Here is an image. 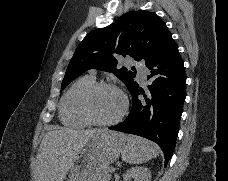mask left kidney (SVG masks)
Masks as SVG:
<instances>
[{
  "label": "left kidney",
  "mask_w": 228,
  "mask_h": 181,
  "mask_svg": "<svg viewBox=\"0 0 228 181\" xmlns=\"http://www.w3.org/2000/svg\"><path fill=\"white\" fill-rule=\"evenodd\" d=\"M151 181V173L147 167H132L123 175V181Z\"/></svg>",
  "instance_id": "obj_1"
}]
</instances>
